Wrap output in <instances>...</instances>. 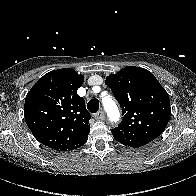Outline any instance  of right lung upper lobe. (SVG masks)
Wrapping results in <instances>:
<instances>
[{
	"mask_svg": "<svg viewBox=\"0 0 196 196\" xmlns=\"http://www.w3.org/2000/svg\"><path fill=\"white\" fill-rule=\"evenodd\" d=\"M82 84V75L64 68L47 73L28 92L25 121L40 143L57 151L85 144L91 116L77 94Z\"/></svg>",
	"mask_w": 196,
	"mask_h": 196,
	"instance_id": "obj_1",
	"label": "right lung upper lobe"
}]
</instances>
